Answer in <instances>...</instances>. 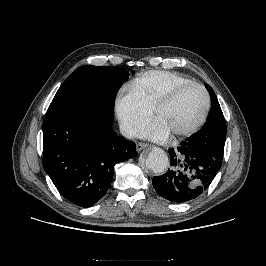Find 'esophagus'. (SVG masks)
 <instances>
[{
  "mask_svg": "<svg viewBox=\"0 0 266 266\" xmlns=\"http://www.w3.org/2000/svg\"><path fill=\"white\" fill-rule=\"evenodd\" d=\"M149 147V144L147 143H142V142H138L136 145V149L137 151H141L142 149Z\"/></svg>",
  "mask_w": 266,
  "mask_h": 266,
  "instance_id": "34e87169",
  "label": "esophagus"
}]
</instances>
